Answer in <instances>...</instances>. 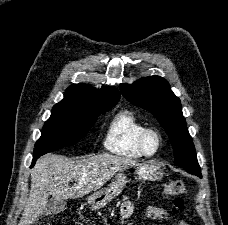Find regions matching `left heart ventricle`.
Listing matches in <instances>:
<instances>
[{
  "instance_id": "obj_1",
  "label": "left heart ventricle",
  "mask_w": 228,
  "mask_h": 225,
  "mask_svg": "<svg viewBox=\"0 0 228 225\" xmlns=\"http://www.w3.org/2000/svg\"><path fill=\"white\" fill-rule=\"evenodd\" d=\"M149 147H150V150H153L155 148V139L154 138L151 139Z\"/></svg>"
}]
</instances>
